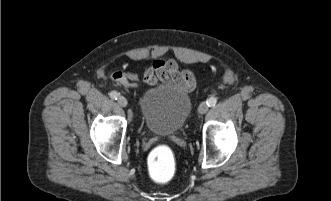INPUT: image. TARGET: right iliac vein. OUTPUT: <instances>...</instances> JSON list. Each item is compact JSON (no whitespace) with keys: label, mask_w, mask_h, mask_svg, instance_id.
<instances>
[{"label":"right iliac vein","mask_w":331,"mask_h":201,"mask_svg":"<svg viewBox=\"0 0 331 201\" xmlns=\"http://www.w3.org/2000/svg\"><path fill=\"white\" fill-rule=\"evenodd\" d=\"M117 102L121 107H126L128 104V102L124 96H119Z\"/></svg>","instance_id":"right-iliac-vein-1"}]
</instances>
